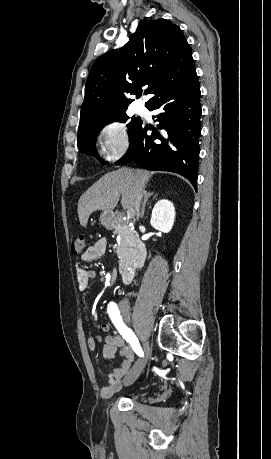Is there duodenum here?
I'll return each mask as SVG.
<instances>
[{
    "label": "duodenum",
    "instance_id": "duodenum-1",
    "mask_svg": "<svg viewBox=\"0 0 271 459\" xmlns=\"http://www.w3.org/2000/svg\"><path fill=\"white\" fill-rule=\"evenodd\" d=\"M110 223L115 230L128 236L133 246L134 256L132 260V268L123 274V281L125 283H129L133 278L134 271L144 265L147 258V248L138 232L133 227L126 224L123 220L118 217H112Z\"/></svg>",
    "mask_w": 271,
    "mask_h": 459
}]
</instances>
